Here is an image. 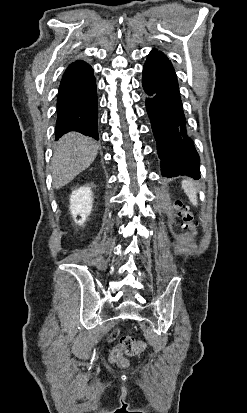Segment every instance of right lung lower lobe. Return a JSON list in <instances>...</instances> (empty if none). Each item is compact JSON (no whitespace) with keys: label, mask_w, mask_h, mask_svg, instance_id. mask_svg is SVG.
Instances as JSON below:
<instances>
[{"label":"right lung lower lobe","mask_w":247,"mask_h":413,"mask_svg":"<svg viewBox=\"0 0 247 413\" xmlns=\"http://www.w3.org/2000/svg\"><path fill=\"white\" fill-rule=\"evenodd\" d=\"M98 101L93 69L76 61L66 69L58 91L55 139L77 131L98 140Z\"/></svg>","instance_id":"1"}]
</instances>
